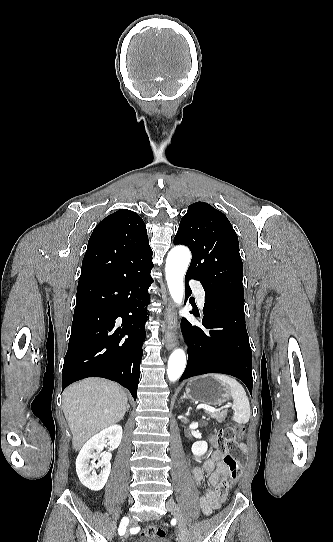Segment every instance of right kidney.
<instances>
[{"label": "right kidney", "instance_id": "ca27d5eb", "mask_svg": "<svg viewBox=\"0 0 333 542\" xmlns=\"http://www.w3.org/2000/svg\"><path fill=\"white\" fill-rule=\"evenodd\" d=\"M121 438V426H109L99 434L92 436L84 444L76 458V472L83 486L93 490V492H99L104 488L111 472V452L118 448ZM104 446H110L108 452H102ZM91 458H101V460H99L98 464H91L90 466ZM97 468H102L100 476L92 474V470H97Z\"/></svg>", "mask_w": 333, "mask_h": 542}]
</instances>
